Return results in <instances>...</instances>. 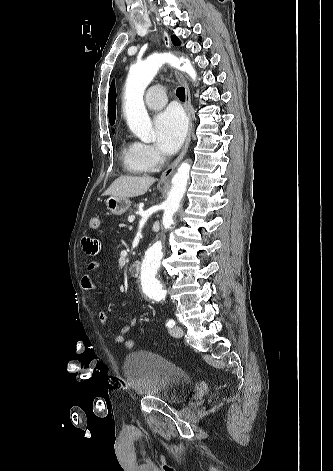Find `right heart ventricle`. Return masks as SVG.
Instances as JSON below:
<instances>
[{
  "instance_id": "obj_1",
  "label": "right heart ventricle",
  "mask_w": 333,
  "mask_h": 471,
  "mask_svg": "<svg viewBox=\"0 0 333 471\" xmlns=\"http://www.w3.org/2000/svg\"><path fill=\"white\" fill-rule=\"evenodd\" d=\"M121 151L124 165L128 171L135 174H144L150 171L145 166H143L137 159L134 153L133 144H127L123 142L121 146Z\"/></svg>"
}]
</instances>
